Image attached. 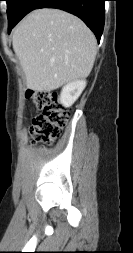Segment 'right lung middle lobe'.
Segmentation results:
<instances>
[{"label":"right lung middle lobe","instance_id":"right-lung-middle-lobe-1","mask_svg":"<svg viewBox=\"0 0 133 253\" xmlns=\"http://www.w3.org/2000/svg\"><path fill=\"white\" fill-rule=\"evenodd\" d=\"M7 2L8 32L18 22L20 8L25 0H5Z\"/></svg>","mask_w":133,"mask_h":253}]
</instances>
